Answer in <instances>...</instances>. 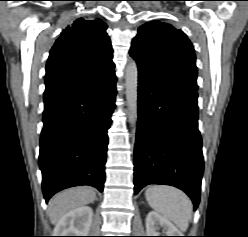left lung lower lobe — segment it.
<instances>
[{
  "label": "left lung lower lobe",
  "instance_id": "0a47b994",
  "mask_svg": "<svg viewBox=\"0 0 248 237\" xmlns=\"http://www.w3.org/2000/svg\"><path fill=\"white\" fill-rule=\"evenodd\" d=\"M198 93L138 76L134 192L148 184L178 187L198 207L203 174Z\"/></svg>",
  "mask_w": 248,
  "mask_h": 237
}]
</instances>
